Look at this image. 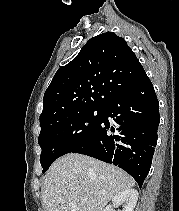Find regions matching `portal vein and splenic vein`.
<instances>
[{
    "label": "portal vein and splenic vein",
    "instance_id": "1",
    "mask_svg": "<svg viewBox=\"0 0 179 211\" xmlns=\"http://www.w3.org/2000/svg\"><path fill=\"white\" fill-rule=\"evenodd\" d=\"M80 202H81V204H86V199L85 198H81Z\"/></svg>",
    "mask_w": 179,
    "mask_h": 211
}]
</instances>
